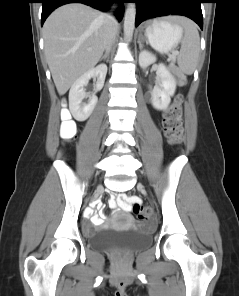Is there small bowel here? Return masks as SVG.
<instances>
[{
    "instance_id": "1",
    "label": "small bowel",
    "mask_w": 239,
    "mask_h": 296,
    "mask_svg": "<svg viewBox=\"0 0 239 296\" xmlns=\"http://www.w3.org/2000/svg\"><path fill=\"white\" fill-rule=\"evenodd\" d=\"M135 201H138V200L134 197H131L125 194H120V195H117L116 197L114 196L111 197L109 201V206L112 209L119 208L123 211H128L130 208V203ZM87 215L90 217L91 222L96 226L102 225L106 218V214H104L103 212H101V214H97L93 211L88 210Z\"/></svg>"
}]
</instances>
